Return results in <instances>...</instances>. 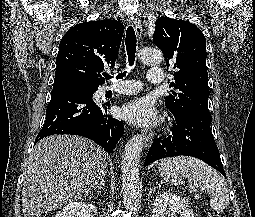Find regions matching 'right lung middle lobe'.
<instances>
[{
	"mask_svg": "<svg viewBox=\"0 0 255 217\" xmlns=\"http://www.w3.org/2000/svg\"><path fill=\"white\" fill-rule=\"evenodd\" d=\"M62 87L72 88V89H86V90H92V91L97 89V87L82 86V85H66Z\"/></svg>",
	"mask_w": 255,
	"mask_h": 217,
	"instance_id": "dd1d6c3e",
	"label": "right lung middle lobe"
}]
</instances>
